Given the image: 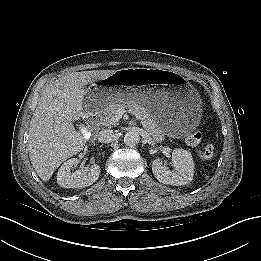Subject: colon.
<instances>
[{"label":"colon","instance_id":"5ec220e1","mask_svg":"<svg viewBox=\"0 0 261 261\" xmlns=\"http://www.w3.org/2000/svg\"><path fill=\"white\" fill-rule=\"evenodd\" d=\"M187 142L189 145L196 147L201 142V133L197 130L192 131L188 138ZM215 154V146L212 143L207 144L203 149L198 151V157L203 160L211 159Z\"/></svg>","mask_w":261,"mask_h":261}]
</instances>
